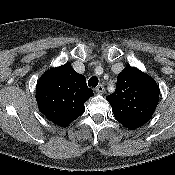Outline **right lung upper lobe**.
Instances as JSON below:
<instances>
[{
    "label": "right lung upper lobe",
    "mask_w": 175,
    "mask_h": 175,
    "mask_svg": "<svg viewBox=\"0 0 175 175\" xmlns=\"http://www.w3.org/2000/svg\"><path fill=\"white\" fill-rule=\"evenodd\" d=\"M93 95L86 85V78L69 64L48 70L36 86L39 110L63 127L84 113V103Z\"/></svg>",
    "instance_id": "cb5924a9"
}]
</instances>
